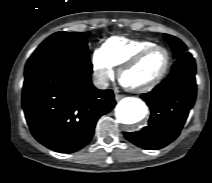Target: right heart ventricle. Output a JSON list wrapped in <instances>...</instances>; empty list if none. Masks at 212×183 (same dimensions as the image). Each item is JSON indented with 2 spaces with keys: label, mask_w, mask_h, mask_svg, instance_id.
Returning <instances> with one entry per match:
<instances>
[{
  "label": "right heart ventricle",
  "mask_w": 212,
  "mask_h": 183,
  "mask_svg": "<svg viewBox=\"0 0 212 183\" xmlns=\"http://www.w3.org/2000/svg\"><path fill=\"white\" fill-rule=\"evenodd\" d=\"M152 45H156V43L150 40L112 37L104 43L102 48L113 66H121L136 53Z\"/></svg>",
  "instance_id": "1"
}]
</instances>
